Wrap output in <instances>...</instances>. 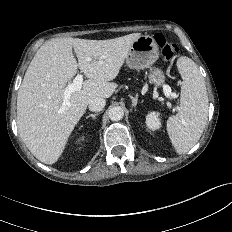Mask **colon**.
Masks as SVG:
<instances>
[{
  "label": "colon",
  "mask_w": 232,
  "mask_h": 232,
  "mask_svg": "<svg viewBox=\"0 0 232 232\" xmlns=\"http://www.w3.org/2000/svg\"><path fill=\"white\" fill-rule=\"evenodd\" d=\"M155 40L160 48L162 57L167 61L173 60L178 53V47L168 42L162 34H156Z\"/></svg>",
  "instance_id": "1"
}]
</instances>
